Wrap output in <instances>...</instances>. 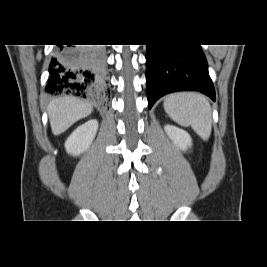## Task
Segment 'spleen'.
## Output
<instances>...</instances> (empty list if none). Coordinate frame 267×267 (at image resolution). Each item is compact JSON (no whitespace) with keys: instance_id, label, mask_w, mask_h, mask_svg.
I'll list each match as a JSON object with an SVG mask.
<instances>
[{"instance_id":"obj_1","label":"spleen","mask_w":267,"mask_h":267,"mask_svg":"<svg viewBox=\"0 0 267 267\" xmlns=\"http://www.w3.org/2000/svg\"><path fill=\"white\" fill-rule=\"evenodd\" d=\"M166 113L179 125L191 126L203 139L211 134V107L207 98L199 93L185 92L168 95L164 100Z\"/></svg>"}]
</instances>
